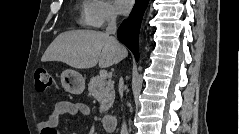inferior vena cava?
Returning <instances> with one entry per match:
<instances>
[{
	"label": "inferior vena cava",
	"instance_id": "1",
	"mask_svg": "<svg viewBox=\"0 0 239 134\" xmlns=\"http://www.w3.org/2000/svg\"><path fill=\"white\" fill-rule=\"evenodd\" d=\"M116 29H117V25H116V15L113 14V13H111V14H110V17H109V23H108V26H107V28H106V34H107V35H111L110 38H111L115 43H118V41L116 40V38H115L114 36H112V35H115ZM122 85H123V79L120 78V81H119V93H120V96H121V97L123 96ZM121 134H128L127 126H126L125 121L123 122L122 127H121Z\"/></svg>",
	"mask_w": 239,
	"mask_h": 134
}]
</instances>
